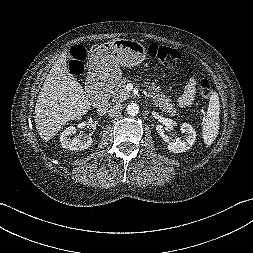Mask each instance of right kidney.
Returning <instances> with one entry per match:
<instances>
[{"label": "right kidney", "mask_w": 253, "mask_h": 253, "mask_svg": "<svg viewBox=\"0 0 253 253\" xmlns=\"http://www.w3.org/2000/svg\"><path fill=\"white\" fill-rule=\"evenodd\" d=\"M76 133V128L74 126H69L66 128L61 136L60 143L63 148L79 151L89 148L93 144V139L91 136L78 137L72 135Z\"/></svg>", "instance_id": "right-kidney-1"}]
</instances>
